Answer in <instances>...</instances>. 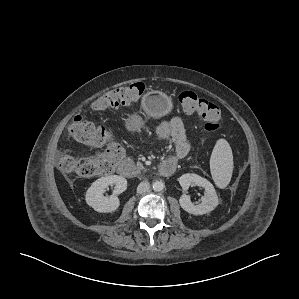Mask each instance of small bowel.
<instances>
[{
    "label": "small bowel",
    "instance_id": "c3829d8e",
    "mask_svg": "<svg viewBox=\"0 0 299 299\" xmlns=\"http://www.w3.org/2000/svg\"><path fill=\"white\" fill-rule=\"evenodd\" d=\"M156 132L161 140L174 143V153L167 160L177 163L178 160L188 155L190 145L186 140L185 125L180 117H173L168 121L162 122L157 127Z\"/></svg>",
    "mask_w": 299,
    "mask_h": 299
}]
</instances>
